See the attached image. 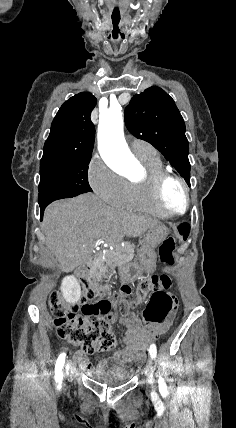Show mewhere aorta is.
<instances>
[{
  "mask_svg": "<svg viewBox=\"0 0 236 428\" xmlns=\"http://www.w3.org/2000/svg\"><path fill=\"white\" fill-rule=\"evenodd\" d=\"M98 149L104 161L118 171L127 173L137 165L124 138L121 106L110 107L100 116Z\"/></svg>",
  "mask_w": 236,
  "mask_h": 428,
  "instance_id": "1",
  "label": "aorta"
}]
</instances>
